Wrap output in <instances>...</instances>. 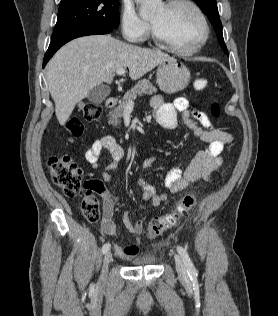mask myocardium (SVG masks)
I'll return each mask as SVG.
<instances>
[{
	"instance_id": "myocardium-1",
	"label": "myocardium",
	"mask_w": 278,
	"mask_h": 316,
	"mask_svg": "<svg viewBox=\"0 0 278 316\" xmlns=\"http://www.w3.org/2000/svg\"><path fill=\"white\" fill-rule=\"evenodd\" d=\"M164 5L167 8H172L178 5H187L189 7H191L195 13L197 14V16L199 17L202 26H203V36L201 41L194 47L192 48H182L179 47L175 44H173L171 41H169L168 39H166L165 37H163L159 31L157 30V28L154 26V24L151 22L150 23V30H151V37L152 40L159 46H162L166 49H169L177 54H181V55H193L198 53L199 51H201L204 46L207 44L209 37H210V26H209V22L207 20V17L204 13V11L201 9V7L194 2L193 0H167Z\"/></svg>"
}]
</instances>
